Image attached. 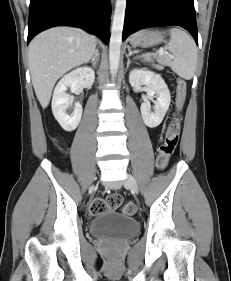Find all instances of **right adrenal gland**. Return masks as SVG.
<instances>
[{"label":"right adrenal gland","mask_w":231,"mask_h":281,"mask_svg":"<svg viewBox=\"0 0 231 281\" xmlns=\"http://www.w3.org/2000/svg\"><path fill=\"white\" fill-rule=\"evenodd\" d=\"M98 60H99V53H98V51L96 50L95 53H94L93 58H92L91 61H90V63H92V66H93L94 68H96V65H97V63H98Z\"/></svg>","instance_id":"2a0ac1e0"}]
</instances>
